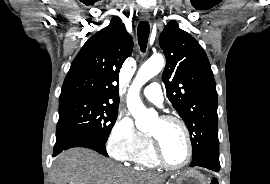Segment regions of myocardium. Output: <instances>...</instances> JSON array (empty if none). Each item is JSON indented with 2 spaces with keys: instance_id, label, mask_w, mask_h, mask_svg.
<instances>
[{
  "instance_id": "1",
  "label": "myocardium",
  "mask_w": 270,
  "mask_h": 184,
  "mask_svg": "<svg viewBox=\"0 0 270 184\" xmlns=\"http://www.w3.org/2000/svg\"><path fill=\"white\" fill-rule=\"evenodd\" d=\"M160 120L165 122V123H176L181 127V129L184 132L185 138H186L187 155H186L185 160L179 165H172V164L168 163L163 156L160 141L153 134H149L154 156H155L157 162L159 163V165H161L167 169H170V170L183 169L184 167H186L190 163L192 156H193V144H192V138H191L190 131H189L186 123L177 116L163 115L160 117Z\"/></svg>"
}]
</instances>
